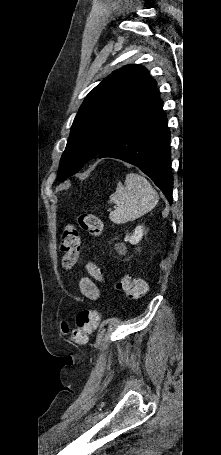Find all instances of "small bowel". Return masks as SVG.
Wrapping results in <instances>:
<instances>
[{"label":"small bowel","mask_w":221,"mask_h":455,"mask_svg":"<svg viewBox=\"0 0 221 455\" xmlns=\"http://www.w3.org/2000/svg\"><path fill=\"white\" fill-rule=\"evenodd\" d=\"M85 268L89 276L84 277L80 280V292L84 297L90 300H96L100 295L98 284L103 282V275L97 265L91 261H88L86 263Z\"/></svg>","instance_id":"1"}]
</instances>
